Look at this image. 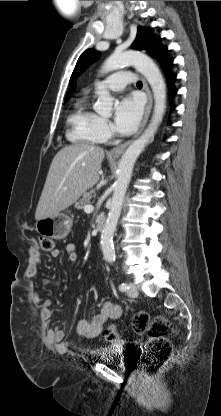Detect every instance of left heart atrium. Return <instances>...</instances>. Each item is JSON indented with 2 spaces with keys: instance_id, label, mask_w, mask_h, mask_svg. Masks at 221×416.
<instances>
[{
  "instance_id": "left-heart-atrium-1",
  "label": "left heart atrium",
  "mask_w": 221,
  "mask_h": 416,
  "mask_svg": "<svg viewBox=\"0 0 221 416\" xmlns=\"http://www.w3.org/2000/svg\"><path fill=\"white\" fill-rule=\"evenodd\" d=\"M142 116V103L136 96L123 97L115 110L114 129L120 134L133 132Z\"/></svg>"
}]
</instances>
